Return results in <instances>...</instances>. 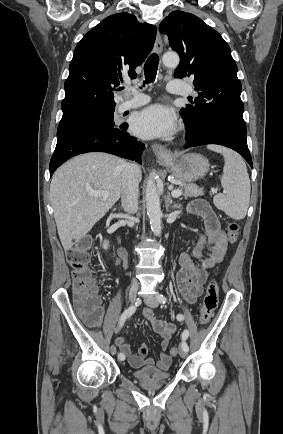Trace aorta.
I'll use <instances>...</instances> for the list:
<instances>
[{"instance_id": "762f6f07", "label": "aorta", "mask_w": 283, "mask_h": 434, "mask_svg": "<svg viewBox=\"0 0 283 434\" xmlns=\"http://www.w3.org/2000/svg\"><path fill=\"white\" fill-rule=\"evenodd\" d=\"M163 63L167 67H176L179 64V56L176 53H166L163 55ZM156 173H150L146 187V208L150 220L151 230L156 236L162 232V212L157 186L155 184Z\"/></svg>"}]
</instances>
